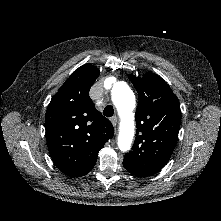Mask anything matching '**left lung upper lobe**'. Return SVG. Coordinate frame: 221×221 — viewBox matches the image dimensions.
I'll list each match as a JSON object with an SVG mask.
<instances>
[{"mask_svg": "<svg viewBox=\"0 0 221 221\" xmlns=\"http://www.w3.org/2000/svg\"><path fill=\"white\" fill-rule=\"evenodd\" d=\"M138 92L136 139L123 166L133 175L147 177L168 162L176 145L181 122L178 98L158 75L128 76Z\"/></svg>", "mask_w": 221, "mask_h": 221, "instance_id": "1", "label": "left lung upper lobe"}]
</instances>
